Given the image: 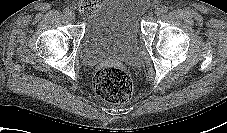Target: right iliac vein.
<instances>
[{"instance_id": "obj_1", "label": "right iliac vein", "mask_w": 227, "mask_h": 133, "mask_svg": "<svg viewBox=\"0 0 227 133\" xmlns=\"http://www.w3.org/2000/svg\"><path fill=\"white\" fill-rule=\"evenodd\" d=\"M69 17H70L71 19H75V14H74L73 12H70Z\"/></svg>"}]
</instances>
